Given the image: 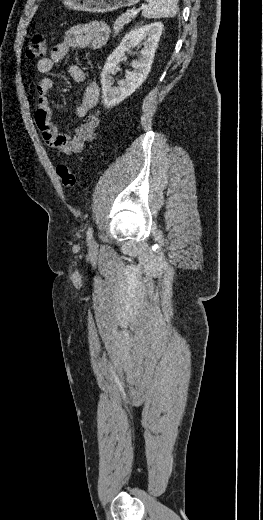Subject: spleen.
Wrapping results in <instances>:
<instances>
[{
  "mask_svg": "<svg viewBox=\"0 0 263 520\" xmlns=\"http://www.w3.org/2000/svg\"><path fill=\"white\" fill-rule=\"evenodd\" d=\"M146 1L148 5L142 11V15L146 18L175 17L177 13V0Z\"/></svg>",
  "mask_w": 263,
  "mask_h": 520,
  "instance_id": "1",
  "label": "spleen"
}]
</instances>
